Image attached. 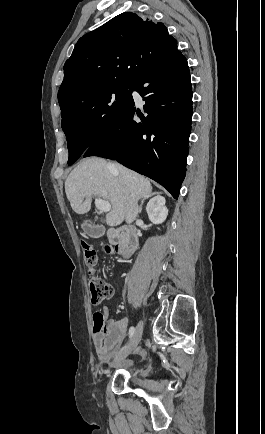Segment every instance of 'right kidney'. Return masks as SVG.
Listing matches in <instances>:
<instances>
[{"instance_id": "1", "label": "right kidney", "mask_w": 265, "mask_h": 434, "mask_svg": "<svg viewBox=\"0 0 265 434\" xmlns=\"http://www.w3.org/2000/svg\"><path fill=\"white\" fill-rule=\"evenodd\" d=\"M165 202V198L160 196V194L149 200L146 206V212L150 222H153V224H162V222H165L168 216V210L165 206Z\"/></svg>"}]
</instances>
